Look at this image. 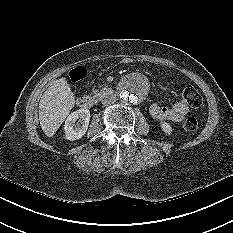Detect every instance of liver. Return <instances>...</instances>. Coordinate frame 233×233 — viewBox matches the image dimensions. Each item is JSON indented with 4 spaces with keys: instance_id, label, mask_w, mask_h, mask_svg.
I'll list each match as a JSON object with an SVG mask.
<instances>
[{
    "instance_id": "liver-1",
    "label": "liver",
    "mask_w": 233,
    "mask_h": 233,
    "mask_svg": "<svg viewBox=\"0 0 233 233\" xmlns=\"http://www.w3.org/2000/svg\"><path fill=\"white\" fill-rule=\"evenodd\" d=\"M74 105L75 97L66 78L49 84L39 102L40 126L48 137L55 134Z\"/></svg>"
}]
</instances>
